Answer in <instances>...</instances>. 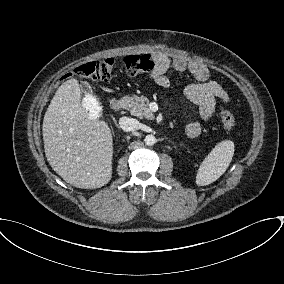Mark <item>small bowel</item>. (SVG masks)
<instances>
[{"label":"small bowel","instance_id":"small-bowel-1","mask_svg":"<svg viewBox=\"0 0 284 284\" xmlns=\"http://www.w3.org/2000/svg\"><path fill=\"white\" fill-rule=\"evenodd\" d=\"M155 67L151 72L153 82L167 88L170 84L169 76L172 72H188L195 79L184 89L185 97L196 104L200 110V116L205 121H210L216 112V102H228L229 96L220 83L210 80L209 69L202 63L186 61L182 58H171L162 52H154L152 55ZM190 138H197L202 132L201 125L191 123L185 129Z\"/></svg>","mask_w":284,"mask_h":284}]
</instances>
